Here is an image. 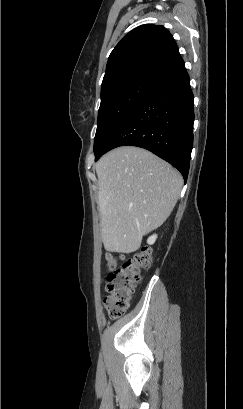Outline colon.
I'll return each instance as SVG.
<instances>
[{"mask_svg":"<svg viewBox=\"0 0 243 409\" xmlns=\"http://www.w3.org/2000/svg\"><path fill=\"white\" fill-rule=\"evenodd\" d=\"M121 255L107 254L104 268L109 271L106 288L110 295L104 300L109 317L117 320L130 307L136 286L140 281L141 269L150 268L153 264L152 251L145 247L125 261L121 268L117 267Z\"/></svg>","mask_w":243,"mask_h":409,"instance_id":"5ec220e1","label":"colon"}]
</instances>
